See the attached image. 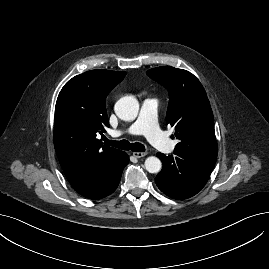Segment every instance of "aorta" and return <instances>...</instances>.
<instances>
[{"mask_svg": "<svg viewBox=\"0 0 269 269\" xmlns=\"http://www.w3.org/2000/svg\"><path fill=\"white\" fill-rule=\"evenodd\" d=\"M139 112V103L133 96H125L115 104L116 115L124 121L134 120ZM145 169L149 173H158L162 168V163L159 158L150 156L145 160Z\"/></svg>", "mask_w": 269, "mask_h": 269, "instance_id": "aorta-1", "label": "aorta"}]
</instances>
